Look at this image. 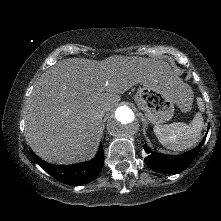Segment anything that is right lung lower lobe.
Listing matches in <instances>:
<instances>
[{"instance_id": "1", "label": "right lung lower lobe", "mask_w": 221, "mask_h": 221, "mask_svg": "<svg viewBox=\"0 0 221 221\" xmlns=\"http://www.w3.org/2000/svg\"><path fill=\"white\" fill-rule=\"evenodd\" d=\"M35 162L58 181L68 185H81L94 180L100 173L104 163V152L102 144L97 156L88 162L74 165L58 166L41 160L30 150Z\"/></svg>"}]
</instances>
